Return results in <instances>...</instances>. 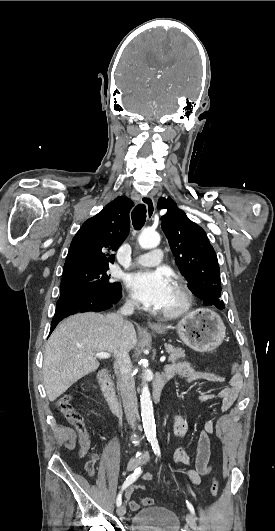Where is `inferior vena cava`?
Wrapping results in <instances>:
<instances>
[{
    "label": "inferior vena cava",
    "instance_id": "inferior-vena-cava-1",
    "mask_svg": "<svg viewBox=\"0 0 275 531\" xmlns=\"http://www.w3.org/2000/svg\"><path fill=\"white\" fill-rule=\"evenodd\" d=\"M135 309V301H126L123 305L120 315H108L107 319L110 323H114L118 329H121L124 319L127 315H133ZM131 363L128 351L123 349L121 345H117L115 351L114 369L118 379V391L123 401L126 419L131 425V429H135L138 415V405L135 389V381L131 377Z\"/></svg>",
    "mask_w": 275,
    "mask_h": 531
}]
</instances>
